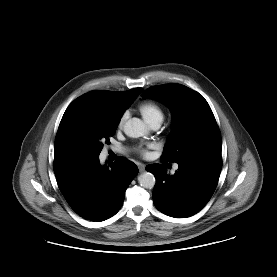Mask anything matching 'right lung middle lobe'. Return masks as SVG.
<instances>
[{
    "label": "right lung middle lobe",
    "mask_w": 277,
    "mask_h": 277,
    "mask_svg": "<svg viewBox=\"0 0 277 277\" xmlns=\"http://www.w3.org/2000/svg\"><path fill=\"white\" fill-rule=\"evenodd\" d=\"M120 117L94 105L91 97L84 94L69 105L60 125L77 153L99 156L103 144H109V138L115 134Z\"/></svg>",
    "instance_id": "dd1d6c3e"
}]
</instances>
